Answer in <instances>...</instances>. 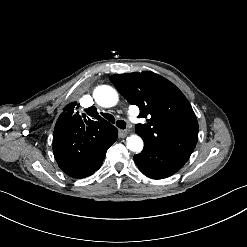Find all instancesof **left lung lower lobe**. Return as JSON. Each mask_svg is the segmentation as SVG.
<instances>
[{
	"label": "left lung lower lobe",
	"mask_w": 247,
	"mask_h": 247,
	"mask_svg": "<svg viewBox=\"0 0 247 247\" xmlns=\"http://www.w3.org/2000/svg\"><path fill=\"white\" fill-rule=\"evenodd\" d=\"M134 161L139 170L152 179L167 178L187 162L146 142L143 151L134 156Z\"/></svg>",
	"instance_id": "left-lung-lower-lobe-1"
}]
</instances>
